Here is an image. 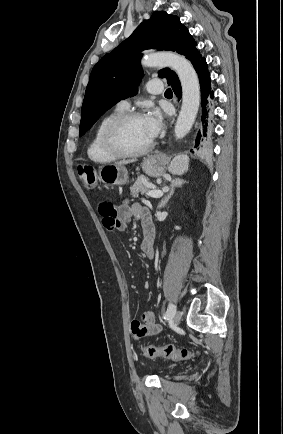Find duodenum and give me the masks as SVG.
<instances>
[{
	"mask_svg": "<svg viewBox=\"0 0 283 434\" xmlns=\"http://www.w3.org/2000/svg\"><path fill=\"white\" fill-rule=\"evenodd\" d=\"M144 239L152 242L154 240V228L153 226L144 227Z\"/></svg>",
	"mask_w": 283,
	"mask_h": 434,
	"instance_id": "1",
	"label": "duodenum"
}]
</instances>
